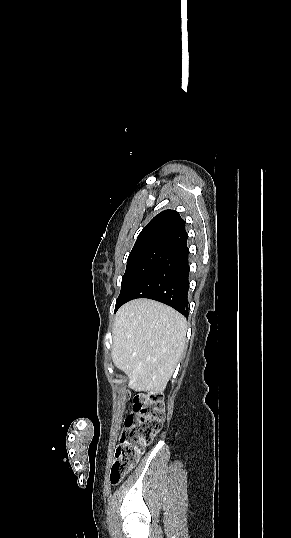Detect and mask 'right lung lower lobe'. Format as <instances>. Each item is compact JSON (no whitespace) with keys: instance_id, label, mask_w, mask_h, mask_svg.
I'll use <instances>...</instances> for the list:
<instances>
[{"instance_id":"1","label":"right lung lower lobe","mask_w":291,"mask_h":538,"mask_svg":"<svg viewBox=\"0 0 291 538\" xmlns=\"http://www.w3.org/2000/svg\"><path fill=\"white\" fill-rule=\"evenodd\" d=\"M188 254L186 243L173 249L142 279L130 294L128 301L136 298L157 300L187 317Z\"/></svg>"}]
</instances>
